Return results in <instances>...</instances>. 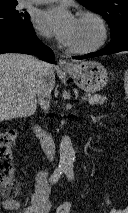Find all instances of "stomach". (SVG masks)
Instances as JSON below:
<instances>
[{
  "label": "stomach",
  "instance_id": "obj_1",
  "mask_svg": "<svg viewBox=\"0 0 128 213\" xmlns=\"http://www.w3.org/2000/svg\"><path fill=\"white\" fill-rule=\"evenodd\" d=\"M79 88L86 92H97L107 83V71L105 67L96 61H83L67 70Z\"/></svg>",
  "mask_w": 128,
  "mask_h": 213
}]
</instances>
